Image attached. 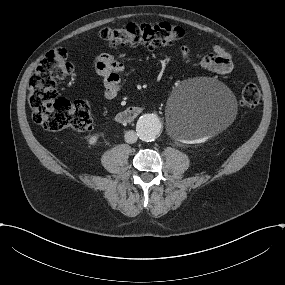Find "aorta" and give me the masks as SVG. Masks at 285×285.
Returning a JSON list of instances; mask_svg holds the SVG:
<instances>
[{"label": "aorta", "instance_id": "1", "mask_svg": "<svg viewBox=\"0 0 285 285\" xmlns=\"http://www.w3.org/2000/svg\"><path fill=\"white\" fill-rule=\"evenodd\" d=\"M161 127V122L155 115L146 114L137 121L136 131L142 141L149 142L155 140Z\"/></svg>", "mask_w": 285, "mask_h": 285}]
</instances>
